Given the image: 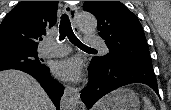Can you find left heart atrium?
Listing matches in <instances>:
<instances>
[{"instance_id":"39dd6f15","label":"left heart atrium","mask_w":171,"mask_h":110,"mask_svg":"<svg viewBox=\"0 0 171 110\" xmlns=\"http://www.w3.org/2000/svg\"><path fill=\"white\" fill-rule=\"evenodd\" d=\"M52 72L61 80L77 81L82 72L81 62L77 58L58 61L53 65Z\"/></svg>"}]
</instances>
